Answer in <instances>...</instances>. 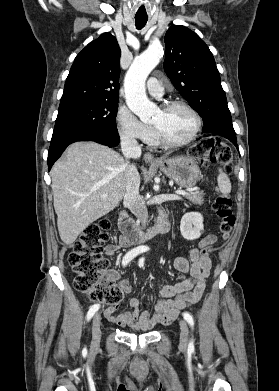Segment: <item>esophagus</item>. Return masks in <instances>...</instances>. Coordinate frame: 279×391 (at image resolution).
<instances>
[{"label": "esophagus", "mask_w": 279, "mask_h": 391, "mask_svg": "<svg viewBox=\"0 0 279 391\" xmlns=\"http://www.w3.org/2000/svg\"><path fill=\"white\" fill-rule=\"evenodd\" d=\"M143 158L145 162H150V163L158 162V160L149 152L145 153Z\"/></svg>", "instance_id": "obj_1"}]
</instances>
